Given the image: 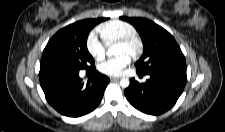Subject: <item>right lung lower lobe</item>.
<instances>
[{"instance_id": "1", "label": "right lung lower lobe", "mask_w": 225, "mask_h": 132, "mask_svg": "<svg viewBox=\"0 0 225 132\" xmlns=\"http://www.w3.org/2000/svg\"><path fill=\"white\" fill-rule=\"evenodd\" d=\"M87 70H91L93 75L84 83L79 70L40 68L39 79L46 99L59 113L80 117L101 102L109 78L95 71L94 66Z\"/></svg>"}]
</instances>
